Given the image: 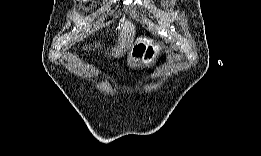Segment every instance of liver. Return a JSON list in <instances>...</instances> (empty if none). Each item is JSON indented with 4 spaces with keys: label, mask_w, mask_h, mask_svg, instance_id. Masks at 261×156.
Segmentation results:
<instances>
[{
    "label": "liver",
    "mask_w": 261,
    "mask_h": 156,
    "mask_svg": "<svg viewBox=\"0 0 261 156\" xmlns=\"http://www.w3.org/2000/svg\"><path fill=\"white\" fill-rule=\"evenodd\" d=\"M135 34V26L131 22L126 21L121 27V32L118 37V45L114 47L113 55L115 57L122 56L124 52L130 49V47L133 45ZM85 49H87V47Z\"/></svg>",
    "instance_id": "6515ba94"
}]
</instances>
